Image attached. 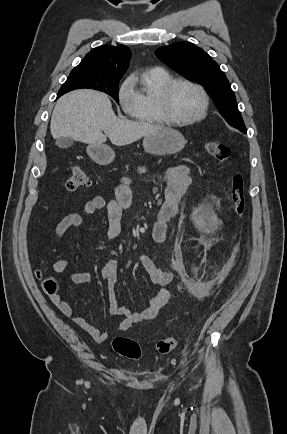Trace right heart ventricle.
<instances>
[{
	"mask_svg": "<svg viewBox=\"0 0 287 434\" xmlns=\"http://www.w3.org/2000/svg\"><path fill=\"white\" fill-rule=\"evenodd\" d=\"M172 79L171 75L164 69L149 70L145 73V84L138 89L140 94V105L132 116L139 122L149 124H164L156 103L157 91ZM153 88V91L149 90Z\"/></svg>",
	"mask_w": 287,
	"mask_h": 434,
	"instance_id": "right-heart-ventricle-1",
	"label": "right heart ventricle"
}]
</instances>
